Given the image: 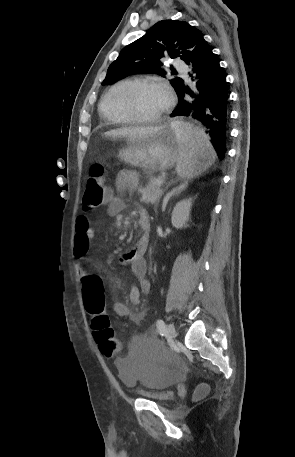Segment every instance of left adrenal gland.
<instances>
[{"instance_id": "left-adrenal-gland-1", "label": "left adrenal gland", "mask_w": 295, "mask_h": 457, "mask_svg": "<svg viewBox=\"0 0 295 457\" xmlns=\"http://www.w3.org/2000/svg\"><path fill=\"white\" fill-rule=\"evenodd\" d=\"M187 185H188L187 182L182 183L181 185H179V187H177V188L173 189L171 192L167 193L163 199L162 209L165 210L166 205H167L168 201L170 200V198L180 194L183 190H185L187 188ZM155 211H156V208H155Z\"/></svg>"}]
</instances>
